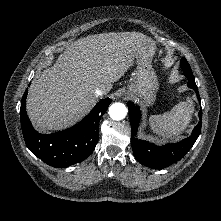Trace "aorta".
Here are the masks:
<instances>
[{"label":"aorta","instance_id":"aorta-1","mask_svg":"<svg viewBox=\"0 0 221 221\" xmlns=\"http://www.w3.org/2000/svg\"><path fill=\"white\" fill-rule=\"evenodd\" d=\"M108 113L111 119L119 121L125 118L127 108L123 103H114L110 106Z\"/></svg>","mask_w":221,"mask_h":221}]
</instances>
